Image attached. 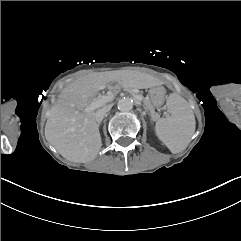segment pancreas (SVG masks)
Wrapping results in <instances>:
<instances>
[{"label": "pancreas", "mask_w": 241, "mask_h": 241, "mask_svg": "<svg viewBox=\"0 0 241 241\" xmlns=\"http://www.w3.org/2000/svg\"><path fill=\"white\" fill-rule=\"evenodd\" d=\"M128 92L132 95V92H137V91H134L132 88H129L128 89ZM137 96H142V101L145 102V105L144 108L146 110L149 111V113H154V108L152 106H149L150 105V101L148 100L147 97H145L144 95H142L141 93L137 92ZM149 106V107H148ZM153 118V117H152Z\"/></svg>", "instance_id": "obj_1"}]
</instances>
